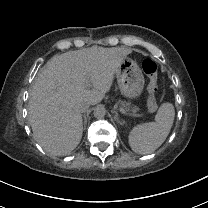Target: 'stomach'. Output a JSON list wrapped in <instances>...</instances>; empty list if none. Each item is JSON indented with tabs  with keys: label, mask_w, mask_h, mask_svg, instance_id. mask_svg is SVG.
I'll use <instances>...</instances> for the list:
<instances>
[{
	"label": "stomach",
	"mask_w": 208,
	"mask_h": 208,
	"mask_svg": "<svg viewBox=\"0 0 208 208\" xmlns=\"http://www.w3.org/2000/svg\"><path fill=\"white\" fill-rule=\"evenodd\" d=\"M116 76L121 94L126 99L135 100L141 96L145 79L140 67L133 60L125 58Z\"/></svg>",
	"instance_id": "0dacf381"
}]
</instances>
